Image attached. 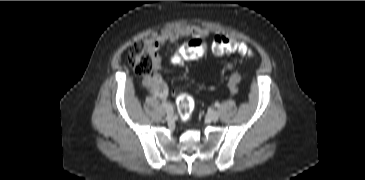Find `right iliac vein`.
Segmentation results:
<instances>
[{
	"label": "right iliac vein",
	"instance_id": "63e3f726",
	"mask_svg": "<svg viewBox=\"0 0 365 180\" xmlns=\"http://www.w3.org/2000/svg\"><path fill=\"white\" fill-rule=\"evenodd\" d=\"M165 110H166L167 115H169V116H171L173 114V112H174L173 107L170 104H168L167 106H165Z\"/></svg>",
	"mask_w": 365,
	"mask_h": 180
}]
</instances>
